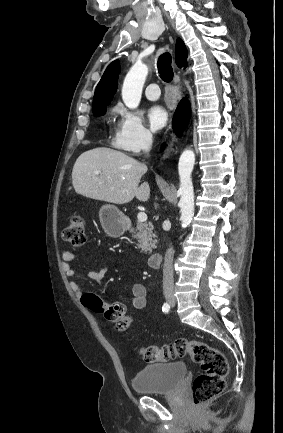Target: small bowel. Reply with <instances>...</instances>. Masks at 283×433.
Masks as SVG:
<instances>
[{
	"label": "small bowel",
	"mask_w": 283,
	"mask_h": 433,
	"mask_svg": "<svg viewBox=\"0 0 283 433\" xmlns=\"http://www.w3.org/2000/svg\"><path fill=\"white\" fill-rule=\"evenodd\" d=\"M61 259H62L63 270L66 276L71 279L70 287L72 291L74 292L76 297L78 298L82 297V291L80 286L77 284L75 280H73V278L76 276V269L74 268L73 263L78 261L77 255H75L74 253L66 249H63L61 251ZM108 271H109V267L105 265L97 270L88 271L86 275L90 280H92L98 285H101ZM131 295H132V306L135 309H143L146 306L147 292L143 284L134 283L131 288Z\"/></svg>",
	"instance_id": "small-bowel-1"
}]
</instances>
